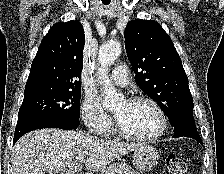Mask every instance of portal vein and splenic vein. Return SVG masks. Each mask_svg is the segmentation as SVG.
Returning a JSON list of instances; mask_svg holds the SVG:
<instances>
[{
  "mask_svg": "<svg viewBox=\"0 0 224 174\" xmlns=\"http://www.w3.org/2000/svg\"><path fill=\"white\" fill-rule=\"evenodd\" d=\"M76 160H77L79 163H81V162H83L84 157H78V158H76Z\"/></svg>",
  "mask_w": 224,
  "mask_h": 174,
  "instance_id": "portal-vein-and-splenic-vein-1",
  "label": "portal vein and splenic vein"
}]
</instances>
